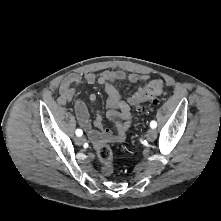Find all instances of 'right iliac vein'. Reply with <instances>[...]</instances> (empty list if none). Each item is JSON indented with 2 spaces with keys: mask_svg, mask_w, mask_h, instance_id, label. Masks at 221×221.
Wrapping results in <instances>:
<instances>
[{
  "mask_svg": "<svg viewBox=\"0 0 221 221\" xmlns=\"http://www.w3.org/2000/svg\"><path fill=\"white\" fill-rule=\"evenodd\" d=\"M75 142L77 145H82L86 142V139H85V137H78V138H76Z\"/></svg>",
  "mask_w": 221,
  "mask_h": 221,
  "instance_id": "63e3f726",
  "label": "right iliac vein"
}]
</instances>
